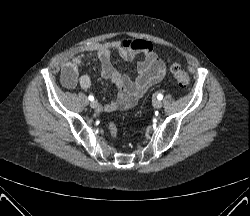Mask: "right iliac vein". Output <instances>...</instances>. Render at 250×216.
<instances>
[{
  "label": "right iliac vein",
  "mask_w": 250,
  "mask_h": 216,
  "mask_svg": "<svg viewBox=\"0 0 250 216\" xmlns=\"http://www.w3.org/2000/svg\"><path fill=\"white\" fill-rule=\"evenodd\" d=\"M90 107L93 108V109H96L98 107V102L93 100L91 103H90Z\"/></svg>",
  "instance_id": "obj_1"
}]
</instances>
